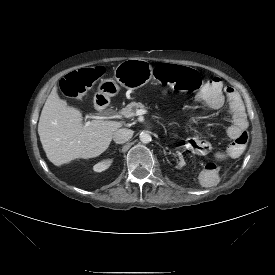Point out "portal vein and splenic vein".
Segmentation results:
<instances>
[{"mask_svg":"<svg viewBox=\"0 0 275 275\" xmlns=\"http://www.w3.org/2000/svg\"><path fill=\"white\" fill-rule=\"evenodd\" d=\"M145 113H146V110L139 109L135 113H132L130 115H126L125 113L120 112V114L114 115V117H120L121 116V117L131 118V117H134V116H141V115H143Z\"/></svg>","mask_w":275,"mask_h":275,"instance_id":"1","label":"portal vein and splenic vein"}]
</instances>
